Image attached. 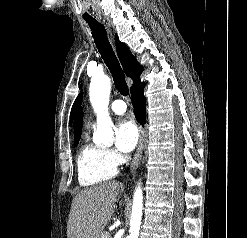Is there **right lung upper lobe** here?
<instances>
[{
  "instance_id": "obj_1",
  "label": "right lung upper lobe",
  "mask_w": 247,
  "mask_h": 238,
  "mask_svg": "<svg viewBox=\"0 0 247 238\" xmlns=\"http://www.w3.org/2000/svg\"><path fill=\"white\" fill-rule=\"evenodd\" d=\"M115 43L117 48V54L123 66V69L126 75L133 79V84L131 86V89H133L135 86L141 83L140 74L143 71V67L139 65L136 58L131 54L126 44L119 41L117 35L115 36ZM82 122H83V110L80 109L74 122L75 143L80 140L81 131H82L81 130Z\"/></svg>"
}]
</instances>
